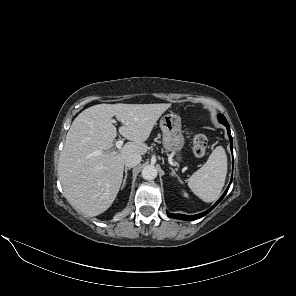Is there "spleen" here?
Masks as SVG:
<instances>
[{
    "label": "spleen",
    "instance_id": "spleen-1",
    "mask_svg": "<svg viewBox=\"0 0 296 296\" xmlns=\"http://www.w3.org/2000/svg\"><path fill=\"white\" fill-rule=\"evenodd\" d=\"M227 175V156L222 146H217L206 163L188 179V187L204 202L215 201L222 191Z\"/></svg>",
    "mask_w": 296,
    "mask_h": 296
}]
</instances>
